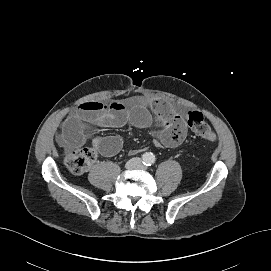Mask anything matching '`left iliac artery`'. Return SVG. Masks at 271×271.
<instances>
[{"label": "left iliac artery", "instance_id": "obj_1", "mask_svg": "<svg viewBox=\"0 0 271 271\" xmlns=\"http://www.w3.org/2000/svg\"><path fill=\"white\" fill-rule=\"evenodd\" d=\"M154 162H155V158H154L153 156H151V157L149 158V160H148L147 165H148V166H151V165L154 164Z\"/></svg>", "mask_w": 271, "mask_h": 271}]
</instances>
